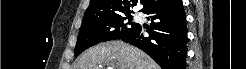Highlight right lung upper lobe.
Masks as SVG:
<instances>
[{"instance_id": "1", "label": "right lung upper lobe", "mask_w": 246, "mask_h": 69, "mask_svg": "<svg viewBox=\"0 0 246 69\" xmlns=\"http://www.w3.org/2000/svg\"><path fill=\"white\" fill-rule=\"evenodd\" d=\"M163 1L164 0H142L140 3L143 5V8L140 11L143 12L147 8L162 3ZM137 2L138 0H91L83 21H94L112 15L133 13L130 8L136 5Z\"/></svg>"}]
</instances>
